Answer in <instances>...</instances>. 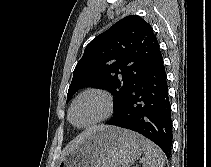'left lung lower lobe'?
<instances>
[{
  "mask_svg": "<svg viewBox=\"0 0 211 167\" xmlns=\"http://www.w3.org/2000/svg\"><path fill=\"white\" fill-rule=\"evenodd\" d=\"M166 72L159 50L154 61L126 95L118 114L106 124L136 131L171 154L172 119Z\"/></svg>",
  "mask_w": 211,
  "mask_h": 167,
  "instance_id": "obj_1",
  "label": "left lung lower lobe"
}]
</instances>
